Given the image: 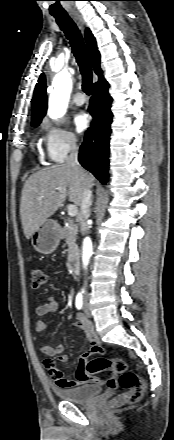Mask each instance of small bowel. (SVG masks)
Returning <instances> with one entry per match:
<instances>
[{"instance_id":"1","label":"small bowel","mask_w":174,"mask_h":440,"mask_svg":"<svg viewBox=\"0 0 174 440\" xmlns=\"http://www.w3.org/2000/svg\"><path fill=\"white\" fill-rule=\"evenodd\" d=\"M59 308L58 302L56 299L50 297L44 303L39 305L36 308V314L38 316H44L48 314L55 313ZM79 321L75 324L76 327L80 328L88 340L90 344V350L88 353L83 355V357L79 360L77 368H76V379L69 380L65 377L63 370L56 366L55 360L53 358H57L60 362L66 363L69 360L68 355L64 354V345L59 344L56 347L49 346L45 343H42L40 349L43 354L49 357L44 362L45 367L47 368L52 380L54 383L63 388H74L80 385H84L87 383H97L99 380L96 377L90 376L85 368L87 356L89 354L97 353L102 350V345L100 340L98 339L93 324L91 321L87 320L83 315L79 314ZM36 332L41 334L46 330V323L43 320H37L35 322Z\"/></svg>"}]
</instances>
